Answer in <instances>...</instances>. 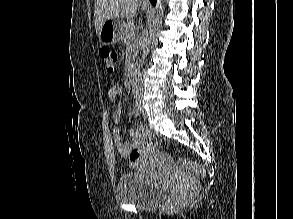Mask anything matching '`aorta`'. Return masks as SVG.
<instances>
[{"label": "aorta", "mask_w": 293, "mask_h": 219, "mask_svg": "<svg viewBox=\"0 0 293 219\" xmlns=\"http://www.w3.org/2000/svg\"><path fill=\"white\" fill-rule=\"evenodd\" d=\"M162 15H163V10L161 6V1L157 0L154 14L151 16L148 22L147 32L142 41V47H141L142 54L140 58V63L138 65V68L133 78V89L136 93L141 92V89H142L141 66L143 65L145 58L147 57L149 53L151 45L154 43V40L156 37V30L161 21Z\"/></svg>", "instance_id": "obj_1"}]
</instances>
